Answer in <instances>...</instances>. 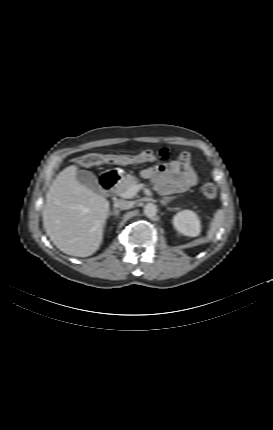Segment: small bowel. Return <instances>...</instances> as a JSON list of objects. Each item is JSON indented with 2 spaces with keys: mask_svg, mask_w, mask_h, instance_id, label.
Returning a JSON list of instances; mask_svg holds the SVG:
<instances>
[{
  "mask_svg": "<svg viewBox=\"0 0 273 430\" xmlns=\"http://www.w3.org/2000/svg\"><path fill=\"white\" fill-rule=\"evenodd\" d=\"M142 176L152 179L163 194L187 191L195 186L198 180L187 152L182 153L177 160L164 159L161 163L143 170Z\"/></svg>",
  "mask_w": 273,
  "mask_h": 430,
  "instance_id": "small-bowel-1",
  "label": "small bowel"
}]
</instances>
